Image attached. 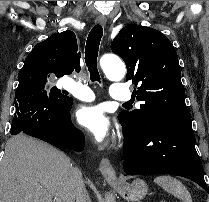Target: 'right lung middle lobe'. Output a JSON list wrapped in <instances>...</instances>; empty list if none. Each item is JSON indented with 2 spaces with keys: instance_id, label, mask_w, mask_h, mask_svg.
Segmentation results:
<instances>
[{
  "instance_id": "dd1d6c3e",
  "label": "right lung middle lobe",
  "mask_w": 209,
  "mask_h": 202,
  "mask_svg": "<svg viewBox=\"0 0 209 202\" xmlns=\"http://www.w3.org/2000/svg\"><path fill=\"white\" fill-rule=\"evenodd\" d=\"M19 83L31 81L41 88L44 92L54 97L60 102H64L68 96L64 95L56 86H53L49 81V76L44 74L19 75Z\"/></svg>"
}]
</instances>
